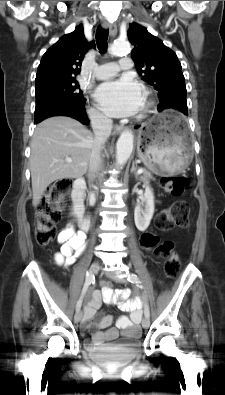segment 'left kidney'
I'll return each instance as SVG.
<instances>
[{
  "instance_id": "1",
  "label": "left kidney",
  "mask_w": 225,
  "mask_h": 395,
  "mask_svg": "<svg viewBox=\"0 0 225 395\" xmlns=\"http://www.w3.org/2000/svg\"><path fill=\"white\" fill-rule=\"evenodd\" d=\"M154 214V195L152 189L146 185L142 202L134 210L135 225L138 230L145 231Z\"/></svg>"
}]
</instances>
